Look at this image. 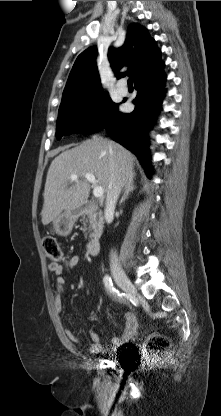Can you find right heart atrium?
<instances>
[{
  "label": "right heart atrium",
  "instance_id": "d8ad5b80",
  "mask_svg": "<svg viewBox=\"0 0 221 416\" xmlns=\"http://www.w3.org/2000/svg\"><path fill=\"white\" fill-rule=\"evenodd\" d=\"M91 117H92L93 119H97V118H99V117H100V112H99V111H97V110L92 111V113H91Z\"/></svg>",
  "mask_w": 221,
  "mask_h": 416
}]
</instances>
